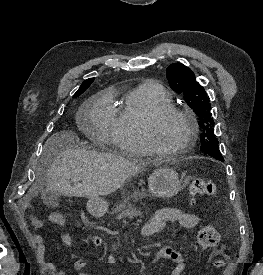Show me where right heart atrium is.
Instances as JSON below:
<instances>
[{"mask_svg":"<svg viewBox=\"0 0 263 275\" xmlns=\"http://www.w3.org/2000/svg\"><path fill=\"white\" fill-rule=\"evenodd\" d=\"M109 96L99 97L91 109V117L97 126L98 136L101 140L108 142L112 140L111 134V115L109 108Z\"/></svg>","mask_w":263,"mask_h":275,"instance_id":"right-heart-atrium-1","label":"right heart atrium"}]
</instances>
